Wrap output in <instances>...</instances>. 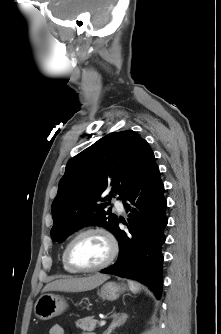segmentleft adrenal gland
<instances>
[{"label": "left adrenal gland", "mask_w": 221, "mask_h": 334, "mask_svg": "<svg viewBox=\"0 0 221 334\" xmlns=\"http://www.w3.org/2000/svg\"><path fill=\"white\" fill-rule=\"evenodd\" d=\"M127 318H128V315L126 313H118L117 315H115L110 326L103 334H111V332L116 327H120L121 325H123L126 322Z\"/></svg>", "instance_id": "a2214340"}]
</instances>
